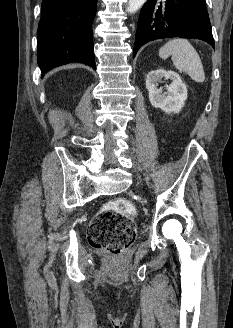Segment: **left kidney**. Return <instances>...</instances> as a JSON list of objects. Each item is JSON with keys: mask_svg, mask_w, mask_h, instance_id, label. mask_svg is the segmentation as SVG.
Wrapping results in <instances>:
<instances>
[{"mask_svg": "<svg viewBox=\"0 0 233 328\" xmlns=\"http://www.w3.org/2000/svg\"><path fill=\"white\" fill-rule=\"evenodd\" d=\"M162 78L172 80L166 85V92L158 88ZM146 88L149 92V100L153 107L160 108L163 112L179 113L187 99V88L179 74L174 71H166L162 68L150 71L146 78Z\"/></svg>", "mask_w": 233, "mask_h": 328, "instance_id": "5707ae66", "label": "left kidney"}]
</instances>
